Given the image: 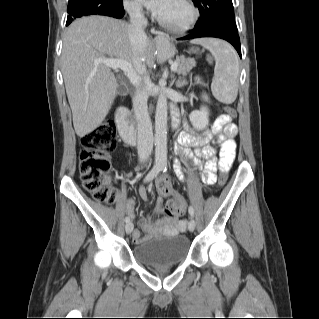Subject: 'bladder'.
<instances>
[{"instance_id": "bladder-1", "label": "bladder", "mask_w": 319, "mask_h": 319, "mask_svg": "<svg viewBox=\"0 0 319 319\" xmlns=\"http://www.w3.org/2000/svg\"><path fill=\"white\" fill-rule=\"evenodd\" d=\"M190 240L180 234L146 238L135 245L134 257L144 265H176L189 255Z\"/></svg>"}]
</instances>
